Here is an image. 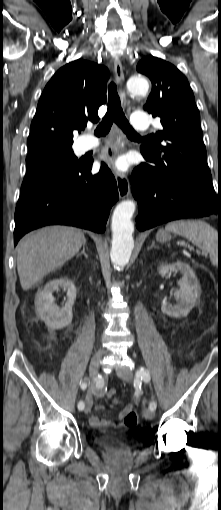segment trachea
Masks as SVG:
<instances>
[{
    "mask_svg": "<svg viewBox=\"0 0 221 510\" xmlns=\"http://www.w3.org/2000/svg\"><path fill=\"white\" fill-rule=\"evenodd\" d=\"M113 122H115L127 135L139 136L126 119L121 108V102L116 90V84L111 82L109 85L108 109L101 123L96 128L95 135L100 137L108 134Z\"/></svg>",
    "mask_w": 221,
    "mask_h": 510,
    "instance_id": "trachea-1",
    "label": "trachea"
}]
</instances>
